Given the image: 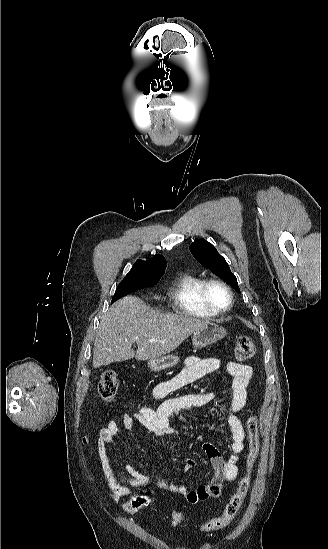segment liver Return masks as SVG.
Here are the masks:
<instances>
[{"mask_svg": "<svg viewBox=\"0 0 328 549\" xmlns=\"http://www.w3.org/2000/svg\"><path fill=\"white\" fill-rule=\"evenodd\" d=\"M207 323V319L182 313H160L139 297H123L100 321L94 343L93 367L98 369L133 357L137 361L157 359L177 349ZM133 343L138 345L137 353L131 349Z\"/></svg>", "mask_w": 328, "mask_h": 549, "instance_id": "obj_1", "label": "liver"}]
</instances>
